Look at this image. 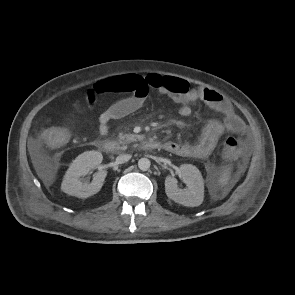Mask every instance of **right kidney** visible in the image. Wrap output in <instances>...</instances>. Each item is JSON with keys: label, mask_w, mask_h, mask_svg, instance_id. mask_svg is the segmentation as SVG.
Returning <instances> with one entry per match:
<instances>
[{"label": "right kidney", "mask_w": 295, "mask_h": 295, "mask_svg": "<svg viewBox=\"0 0 295 295\" xmlns=\"http://www.w3.org/2000/svg\"><path fill=\"white\" fill-rule=\"evenodd\" d=\"M103 156L98 151H86L80 154L67 170L61 189L68 195L79 198H88L100 191L107 175V171L102 170L93 175L91 183L81 181L80 177L88 174L90 170L99 165Z\"/></svg>", "instance_id": "obj_1"}]
</instances>
